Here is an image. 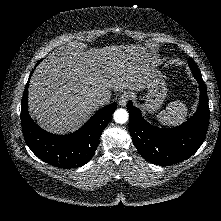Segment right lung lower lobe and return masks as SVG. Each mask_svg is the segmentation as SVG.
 <instances>
[{
  "label": "right lung lower lobe",
  "instance_id": "right-lung-lower-lobe-1",
  "mask_svg": "<svg viewBox=\"0 0 221 221\" xmlns=\"http://www.w3.org/2000/svg\"><path fill=\"white\" fill-rule=\"evenodd\" d=\"M27 82L21 102V125L26 144L44 162L56 167L70 169L87 163L94 155L101 134L113 112L112 103L96 112L79 130L68 135H55L41 129L28 112Z\"/></svg>",
  "mask_w": 221,
  "mask_h": 221
}]
</instances>
